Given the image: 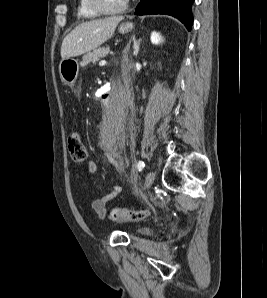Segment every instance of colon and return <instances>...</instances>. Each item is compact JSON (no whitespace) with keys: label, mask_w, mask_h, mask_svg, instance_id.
Masks as SVG:
<instances>
[{"label":"colon","mask_w":267,"mask_h":298,"mask_svg":"<svg viewBox=\"0 0 267 298\" xmlns=\"http://www.w3.org/2000/svg\"><path fill=\"white\" fill-rule=\"evenodd\" d=\"M67 146L73 162L82 164L86 161L88 153L80 132H73L68 136ZM149 215V210L113 208L110 210L108 217L111 221H140Z\"/></svg>","instance_id":"obj_1"}]
</instances>
